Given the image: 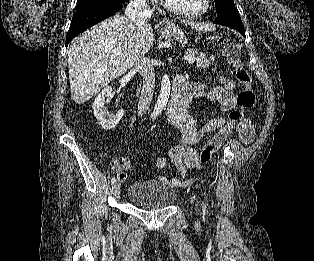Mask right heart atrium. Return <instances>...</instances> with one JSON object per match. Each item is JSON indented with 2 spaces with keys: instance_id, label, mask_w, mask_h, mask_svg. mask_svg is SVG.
Here are the masks:
<instances>
[{
  "instance_id": "obj_1",
  "label": "right heart atrium",
  "mask_w": 314,
  "mask_h": 261,
  "mask_svg": "<svg viewBox=\"0 0 314 261\" xmlns=\"http://www.w3.org/2000/svg\"><path fill=\"white\" fill-rule=\"evenodd\" d=\"M142 1H144V2H156L158 0H142Z\"/></svg>"
}]
</instances>
